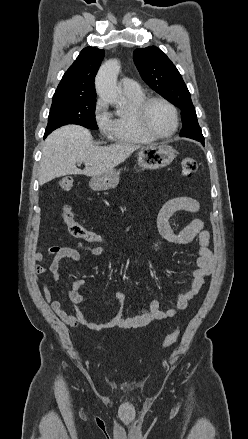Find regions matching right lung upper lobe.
<instances>
[{
	"label": "right lung upper lobe",
	"mask_w": 248,
	"mask_h": 439,
	"mask_svg": "<svg viewBox=\"0 0 248 439\" xmlns=\"http://www.w3.org/2000/svg\"><path fill=\"white\" fill-rule=\"evenodd\" d=\"M104 54L98 48H84L63 75L53 97H96L94 78Z\"/></svg>",
	"instance_id": "1"
}]
</instances>
